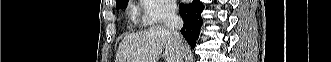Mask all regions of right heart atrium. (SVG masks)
Returning a JSON list of instances; mask_svg holds the SVG:
<instances>
[{
	"label": "right heart atrium",
	"instance_id": "right-heart-atrium-1",
	"mask_svg": "<svg viewBox=\"0 0 331 62\" xmlns=\"http://www.w3.org/2000/svg\"><path fill=\"white\" fill-rule=\"evenodd\" d=\"M139 8L142 23L152 25L173 17L176 5L172 0H141Z\"/></svg>",
	"mask_w": 331,
	"mask_h": 62
}]
</instances>
